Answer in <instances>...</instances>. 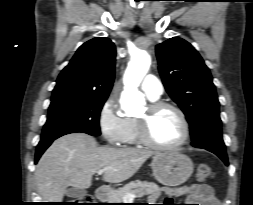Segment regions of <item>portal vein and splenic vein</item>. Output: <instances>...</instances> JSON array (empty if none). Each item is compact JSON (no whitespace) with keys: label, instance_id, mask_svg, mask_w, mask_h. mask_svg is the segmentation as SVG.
Segmentation results:
<instances>
[{"label":"portal vein and splenic vein","instance_id":"portal-vein-and-splenic-vein-1","mask_svg":"<svg viewBox=\"0 0 253 205\" xmlns=\"http://www.w3.org/2000/svg\"><path fill=\"white\" fill-rule=\"evenodd\" d=\"M107 169H101L99 171H97L98 175H102ZM136 197L135 194L132 193H128L124 196V201H133V199Z\"/></svg>","mask_w":253,"mask_h":205}]
</instances>
